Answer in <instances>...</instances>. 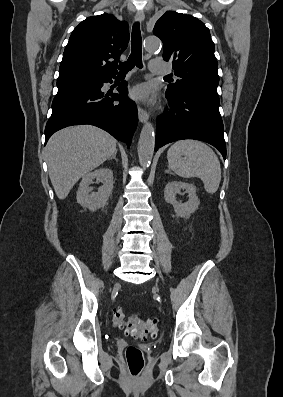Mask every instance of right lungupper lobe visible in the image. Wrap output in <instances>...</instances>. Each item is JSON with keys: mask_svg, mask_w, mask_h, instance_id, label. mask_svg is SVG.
<instances>
[{"mask_svg": "<svg viewBox=\"0 0 283 397\" xmlns=\"http://www.w3.org/2000/svg\"><path fill=\"white\" fill-rule=\"evenodd\" d=\"M128 41L126 21H119L107 13L88 17L73 30L69 38L57 82L96 81L115 76V65Z\"/></svg>", "mask_w": 283, "mask_h": 397, "instance_id": "cb5924a9", "label": "right lung upper lobe"}]
</instances>
